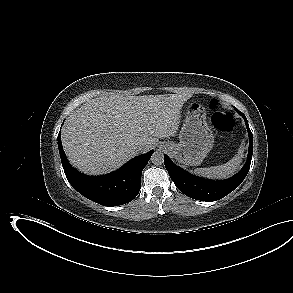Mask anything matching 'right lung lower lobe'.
Wrapping results in <instances>:
<instances>
[{"mask_svg":"<svg viewBox=\"0 0 293 293\" xmlns=\"http://www.w3.org/2000/svg\"><path fill=\"white\" fill-rule=\"evenodd\" d=\"M58 147L62 166L69 183L86 198L104 206H118L132 201L141 188V174L154 150L139 155L118 170L102 175L87 176L71 167L64 153L60 132Z\"/></svg>","mask_w":293,"mask_h":293,"instance_id":"1","label":"right lung lower lobe"}]
</instances>
